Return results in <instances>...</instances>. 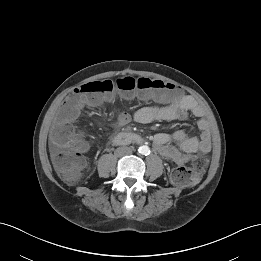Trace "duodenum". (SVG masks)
<instances>
[{"label":"duodenum","mask_w":261,"mask_h":261,"mask_svg":"<svg viewBox=\"0 0 261 261\" xmlns=\"http://www.w3.org/2000/svg\"><path fill=\"white\" fill-rule=\"evenodd\" d=\"M139 141L140 137L137 134L131 132H121L114 138V142L120 145L138 143Z\"/></svg>","instance_id":"obj_1"}]
</instances>
